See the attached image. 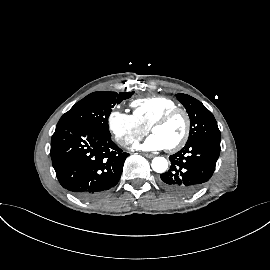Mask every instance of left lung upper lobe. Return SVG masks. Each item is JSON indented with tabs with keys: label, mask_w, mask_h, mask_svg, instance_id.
Masks as SVG:
<instances>
[{
	"label": "left lung upper lobe",
	"mask_w": 270,
	"mask_h": 270,
	"mask_svg": "<svg viewBox=\"0 0 270 270\" xmlns=\"http://www.w3.org/2000/svg\"><path fill=\"white\" fill-rule=\"evenodd\" d=\"M176 97L185 107L191 121L187 143L200 138L221 139L213 114L200 101L186 94H177Z\"/></svg>",
	"instance_id": "left-lung-upper-lobe-1"
}]
</instances>
